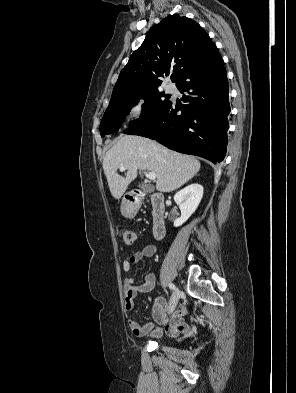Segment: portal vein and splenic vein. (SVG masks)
<instances>
[{
  "instance_id": "1",
  "label": "portal vein and splenic vein",
  "mask_w": 296,
  "mask_h": 393,
  "mask_svg": "<svg viewBox=\"0 0 296 393\" xmlns=\"http://www.w3.org/2000/svg\"><path fill=\"white\" fill-rule=\"evenodd\" d=\"M120 170H121V171H125V167H124V166L120 167ZM144 173H145V176H146L148 179H150V180H155L156 177H157V175H156L155 172H149V173L144 172Z\"/></svg>"
}]
</instances>
